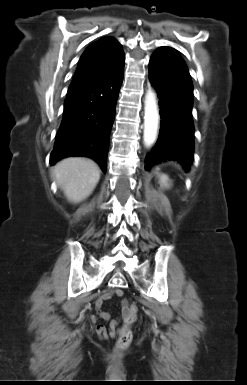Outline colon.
I'll return each instance as SVG.
<instances>
[{
	"mask_svg": "<svg viewBox=\"0 0 247 385\" xmlns=\"http://www.w3.org/2000/svg\"><path fill=\"white\" fill-rule=\"evenodd\" d=\"M127 315L124 319V323L120 329L119 339L116 348L123 350L127 348L132 340V332L130 326L135 322L139 308L136 304H131L126 307Z\"/></svg>",
	"mask_w": 247,
	"mask_h": 385,
	"instance_id": "1",
	"label": "colon"
}]
</instances>
